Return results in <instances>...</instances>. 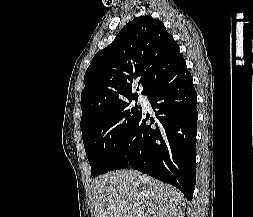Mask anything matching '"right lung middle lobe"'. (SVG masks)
Returning <instances> with one entry per match:
<instances>
[{"instance_id":"dd1d6c3e","label":"right lung middle lobe","mask_w":253,"mask_h":217,"mask_svg":"<svg viewBox=\"0 0 253 217\" xmlns=\"http://www.w3.org/2000/svg\"><path fill=\"white\" fill-rule=\"evenodd\" d=\"M137 100L136 98L129 99ZM142 113L127 100L107 108L81 124L83 143L93 176L111 171L132 126Z\"/></svg>"}]
</instances>
